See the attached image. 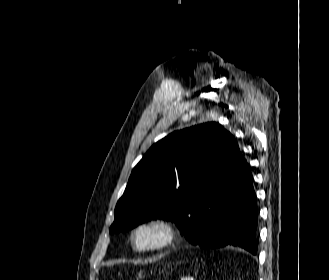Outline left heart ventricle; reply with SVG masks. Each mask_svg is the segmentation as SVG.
<instances>
[{"instance_id":"1","label":"left heart ventricle","mask_w":329,"mask_h":280,"mask_svg":"<svg viewBox=\"0 0 329 280\" xmlns=\"http://www.w3.org/2000/svg\"><path fill=\"white\" fill-rule=\"evenodd\" d=\"M160 239V232L157 229H143L136 235V244L138 246H147L157 242Z\"/></svg>"}]
</instances>
